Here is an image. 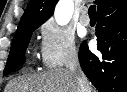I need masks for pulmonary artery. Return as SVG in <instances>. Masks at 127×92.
<instances>
[{
  "label": "pulmonary artery",
  "mask_w": 127,
  "mask_h": 92,
  "mask_svg": "<svg viewBox=\"0 0 127 92\" xmlns=\"http://www.w3.org/2000/svg\"><path fill=\"white\" fill-rule=\"evenodd\" d=\"M80 23H81L82 25H84V26H87V25H89V23H90V18H89L88 12H87V8H84V9L81 11Z\"/></svg>",
  "instance_id": "obj_1"
}]
</instances>
